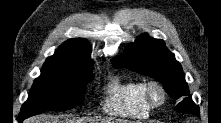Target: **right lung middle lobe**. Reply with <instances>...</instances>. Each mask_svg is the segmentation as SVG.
Returning <instances> with one entry per match:
<instances>
[{"label": "right lung middle lobe", "instance_id": "dd1d6c3e", "mask_svg": "<svg viewBox=\"0 0 221 123\" xmlns=\"http://www.w3.org/2000/svg\"><path fill=\"white\" fill-rule=\"evenodd\" d=\"M93 77L91 67L82 69L69 64H44L20 114L30 117L48 110H67L80 105L86 84Z\"/></svg>", "mask_w": 221, "mask_h": 123}]
</instances>
